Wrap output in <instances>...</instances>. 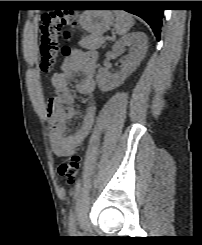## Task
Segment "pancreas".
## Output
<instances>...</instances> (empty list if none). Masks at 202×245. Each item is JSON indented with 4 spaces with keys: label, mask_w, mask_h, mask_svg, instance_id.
Instances as JSON below:
<instances>
[{
    "label": "pancreas",
    "mask_w": 202,
    "mask_h": 245,
    "mask_svg": "<svg viewBox=\"0 0 202 245\" xmlns=\"http://www.w3.org/2000/svg\"><path fill=\"white\" fill-rule=\"evenodd\" d=\"M105 40L102 36L89 35L79 42V45L85 49L95 50L104 44Z\"/></svg>",
    "instance_id": "pancreas-1"
}]
</instances>
